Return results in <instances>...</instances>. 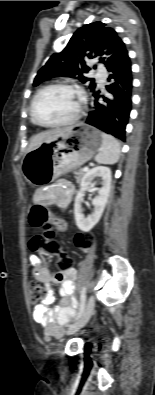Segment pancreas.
Here are the masks:
<instances>
[{"mask_svg":"<svg viewBox=\"0 0 155 395\" xmlns=\"http://www.w3.org/2000/svg\"><path fill=\"white\" fill-rule=\"evenodd\" d=\"M83 174H84V171H82V170L74 171V175H75V178H76L77 182H80Z\"/></svg>","mask_w":155,"mask_h":395,"instance_id":"pancreas-1","label":"pancreas"}]
</instances>
